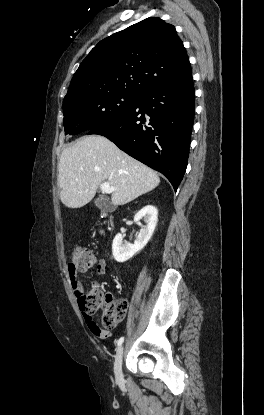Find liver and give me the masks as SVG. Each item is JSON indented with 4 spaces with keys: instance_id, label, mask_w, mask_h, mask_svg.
Wrapping results in <instances>:
<instances>
[{
    "instance_id": "obj_1",
    "label": "liver",
    "mask_w": 264,
    "mask_h": 415,
    "mask_svg": "<svg viewBox=\"0 0 264 415\" xmlns=\"http://www.w3.org/2000/svg\"><path fill=\"white\" fill-rule=\"evenodd\" d=\"M58 171L60 200L68 208L89 203L104 182L116 188L111 201L117 206L131 202L160 183L154 170L100 135L84 136L64 149Z\"/></svg>"
}]
</instances>
